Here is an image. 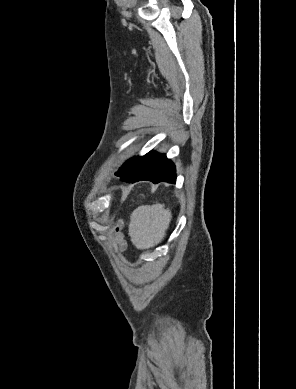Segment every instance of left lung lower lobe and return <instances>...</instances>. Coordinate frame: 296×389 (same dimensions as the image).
Listing matches in <instances>:
<instances>
[{"instance_id":"1","label":"left lung lower lobe","mask_w":296,"mask_h":389,"mask_svg":"<svg viewBox=\"0 0 296 389\" xmlns=\"http://www.w3.org/2000/svg\"><path fill=\"white\" fill-rule=\"evenodd\" d=\"M116 176H119L122 181L131 183L141 180H149L153 183L176 182L175 165L163 154L153 151L128 160Z\"/></svg>"}]
</instances>
